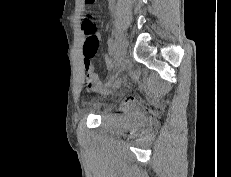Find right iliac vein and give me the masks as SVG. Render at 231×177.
I'll use <instances>...</instances> for the list:
<instances>
[{
	"label": "right iliac vein",
	"instance_id": "obj_1",
	"mask_svg": "<svg viewBox=\"0 0 231 177\" xmlns=\"http://www.w3.org/2000/svg\"><path fill=\"white\" fill-rule=\"evenodd\" d=\"M125 49H126L125 39L122 35H118L116 38V42H115V61H116L115 69L116 71L119 70L120 66L123 63Z\"/></svg>",
	"mask_w": 231,
	"mask_h": 177
}]
</instances>
